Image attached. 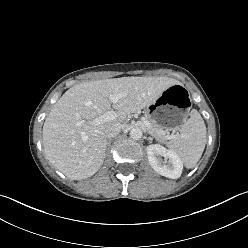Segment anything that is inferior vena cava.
Returning <instances> with one entry per match:
<instances>
[{"label":"inferior vena cava","mask_w":248,"mask_h":248,"mask_svg":"<svg viewBox=\"0 0 248 248\" xmlns=\"http://www.w3.org/2000/svg\"><path fill=\"white\" fill-rule=\"evenodd\" d=\"M122 126L121 124H113L106 128L105 130V137L107 139H112L116 137L121 132Z\"/></svg>","instance_id":"1"}]
</instances>
